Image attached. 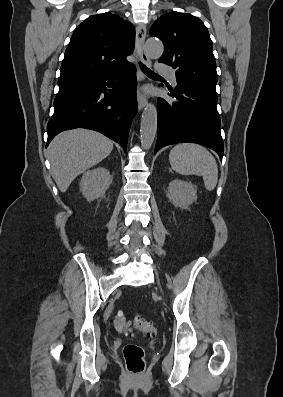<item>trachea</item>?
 I'll return each mask as SVG.
<instances>
[{
    "label": "trachea",
    "instance_id": "3493384b",
    "mask_svg": "<svg viewBox=\"0 0 283 397\" xmlns=\"http://www.w3.org/2000/svg\"><path fill=\"white\" fill-rule=\"evenodd\" d=\"M140 68L142 72L149 77H160L158 74L147 68L144 64L140 63Z\"/></svg>",
    "mask_w": 283,
    "mask_h": 397
}]
</instances>
